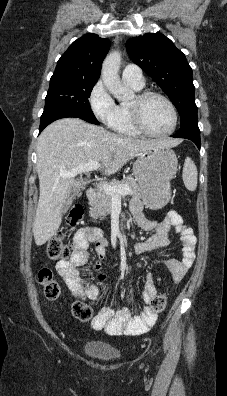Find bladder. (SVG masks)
Segmentation results:
<instances>
[{
  "mask_svg": "<svg viewBox=\"0 0 227 396\" xmlns=\"http://www.w3.org/2000/svg\"><path fill=\"white\" fill-rule=\"evenodd\" d=\"M85 356L96 361L112 363L121 358V353L108 344L101 342H88L82 347Z\"/></svg>",
  "mask_w": 227,
  "mask_h": 396,
  "instance_id": "1",
  "label": "bladder"
}]
</instances>
